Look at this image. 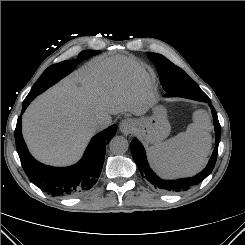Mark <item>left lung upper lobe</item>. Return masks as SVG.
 <instances>
[{
	"instance_id": "1",
	"label": "left lung upper lobe",
	"mask_w": 245,
	"mask_h": 245,
	"mask_svg": "<svg viewBox=\"0 0 245 245\" xmlns=\"http://www.w3.org/2000/svg\"><path fill=\"white\" fill-rule=\"evenodd\" d=\"M149 59L155 64L161 79V83L166 92L176 89H183L188 83V88L198 87L197 83L193 81L181 68L174 65L164 56L148 52Z\"/></svg>"
}]
</instances>
